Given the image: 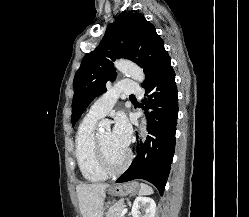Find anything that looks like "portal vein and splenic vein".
Segmentation results:
<instances>
[{
  "label": "portal vein and splenic vein",
  "mask_w": 249,
  "mask_h": 217,
  "mask_svg": "<svg viewBox=\"0 0 249 217\" xmlns=\"http://www.w3.org/2000/svg\"><path fill=\"white\" fill-rule=\"evenodd\" d=\"M128 209L127 208H124L121 212V215L120 217H123L126 213H127Z\"/></svg>",
  "instance_id": "portal-vein-and-splenic-vein-1"
}]
</instances>
